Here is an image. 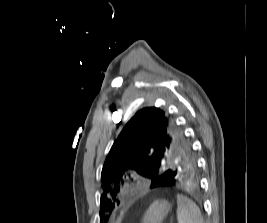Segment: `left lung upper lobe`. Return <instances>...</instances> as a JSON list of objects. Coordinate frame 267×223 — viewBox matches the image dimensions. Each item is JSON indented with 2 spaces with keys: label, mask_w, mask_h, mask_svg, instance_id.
Wrapping results in <instances>:
<instances>
[{
  "label": "left lung upper lobe",
  "mask_w": 267,
  "mask_h": 223,
  "mask_svg": "<svg viewBox=\"0 0 267 223\" xmlns=\"http://www.w3.org/2000/svg\"><path fill=\"white\" fill-rule=\"evenodd\" d=\"M132 170L152 182L157 179L153 173L197 171L191 145L168 112L156 107L141 109L115 140L101 174L100 223L108 220L115 207L111 196Z\"/></svg>",
  "instance_id": "5c2ea615"
}]
</instances>
